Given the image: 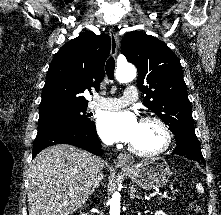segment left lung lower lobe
Here are the masks:
<instances>
[{"mask_svg": "<svg viewBox=\"0 0 221 215\" xmlns=\"http://www.w3.org/2000/svg\"><path fill=\"white\" fill-rule=\"evenodd\" d=\"M173 154H177L197 162H205L201 153L199 142L192 141L190 139H184L183 141L178 142Z\"/></svg>", "mask_w": 221, "mask_h": 215, "instance_id": "1", "label": "left lung lower lobe"}]
</instances>
